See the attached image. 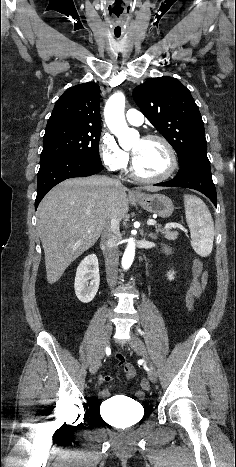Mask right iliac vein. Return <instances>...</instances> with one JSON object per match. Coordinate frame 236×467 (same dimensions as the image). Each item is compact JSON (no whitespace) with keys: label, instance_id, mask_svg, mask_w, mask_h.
<instances>
[{"label":"right iliac vein","instance_id":"63e3f726","mask_svg":"<svg viewBox=\"0 0 236 467\" xmlns=\"http://www.w3.org/2000/svg\"><path fill=\"white\" fill-rule=\"evenodd\" d=\"M111 333H112V324L110 322H107L102 329L97 352L90 365L91 374H95L101 365V361L104 356L105 348L108 345Z\"/></svg>","mask_w":236,"mask_h":467}]
</instances>
